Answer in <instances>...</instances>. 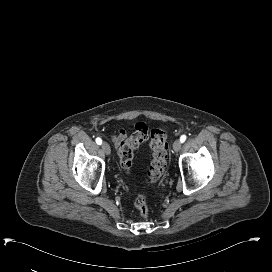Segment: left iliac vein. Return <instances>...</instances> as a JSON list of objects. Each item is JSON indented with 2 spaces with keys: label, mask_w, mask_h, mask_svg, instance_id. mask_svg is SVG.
Wrapping results in <instances>:
<instances>
[{
  "label": "left iliac vein",
  "mask_w": 272,
  "mask_h": 272,
  "mask_svg": "<svg viewBox=\"0 0 272 272\" xmlns=\"http://www.w3.org/2000/svg\"><path fill=\"white\" fill-rule=\"evenodd\" d=\"M182 147V142L180 140H175V142L173 143V149L175 152L180 151Z\"/></svg>",
  "instance_id": "obj_1"
}]
</instances>
